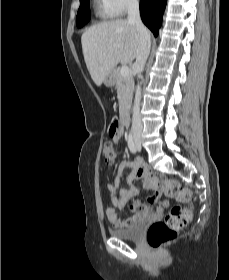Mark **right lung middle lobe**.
<instances>
[{"label": "right lung middle lobe", "mask_w": 229, "mask_h": 280, "mask_svg": "<svg viewBox=\"0 0 229 280\" xmlns=\"http://www.w3.org/2000/svg\"><path fill=\"white\" fill-rule=\"evenodd\" d=\"M89 1L90 0H80V7L76 17V24L78 28L84 26L90 20L91 15Z\"/></svg>", "instance_id": "1"}]
</instances>
